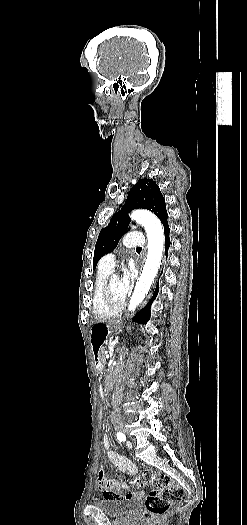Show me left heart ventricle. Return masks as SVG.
<instances>
[{
  "instance_id": "left-heart-ventricle-1",
  "label": "left heart ventricle",
  "mask_w": 247,
  "mask_h": 525,
  "mask_svg": "<svg viewBox=\"0 0 247 525\" xmlns=\"http://www.w3.org/2000/svg\"><path fill=\"white\" fill-rule=\"evenodd\" d=\"M147 267L148 269H151L152 264H135V262L131 261L129 257H126L123 262V268H137V269H143ZM120 279L119 278H113L111 285H110V292L112 295L116 296L118 299L122 300L123 298L118 293V287H119Z\"/></svg>"
}]
</instances>
